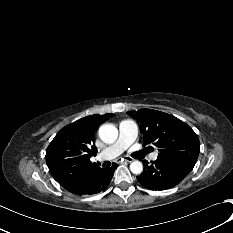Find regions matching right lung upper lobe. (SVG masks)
Wrapping results in <instances>:
<instances>
[{
  "mask_svg": "<svg viewBox=\"0 0 233 233\" xmlns=\"http://www.w3.org/2000/svg\"><path fill=\"white\" fill-rule=\"evenodd\" d=\"M110 114L90 115L61 129L46 150V163L53 178L67 191L77 194L100 168L90 157L97 153L94 133Z\"/></svg>",
  "mask_w": 233,
  "mask_h": 233,
  "instance_id": "right-lung-upper-lobe-1",
  "label": "right lung upper lobe"
}]
</instances>
